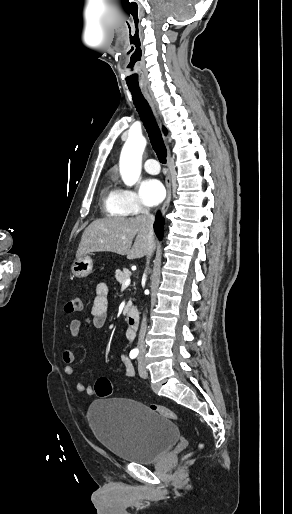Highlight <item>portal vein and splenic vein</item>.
Masks as SVG:
<instances>
[{"label":"portal vein and splenic vein","instance_id":"18ae733b","mask_svg":"<svg viewBox=\"0 0 292 514\" xmlns=\"http://www.w3.org/2000/svg\"><path fill=\"white\" fill-rule=\"evenodd\" d=\"M130 282H131V280H130V278H128V280H126V282H124V286H129Z\"/></svg>","mask_w":292,"mask_h":514}]
</instances>
